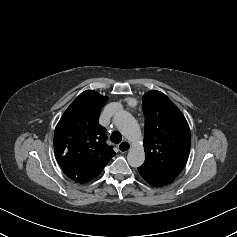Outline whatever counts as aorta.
<instances>
[{
	"mask_svg": "<svg viewBox=\"0 0 237 237\" xmlns=\"http://www.w3.org/2000/svg\"><path fill=\"white\" fill-rule=\"evenodd\" d=\"M113 122L133 146L130 148L127 161L132 167H140L145 161V151L142 145H136L142 138V133L134 117L125 110L118 111L114 117Z\"/></svg>",
	"mask_w": 237,
	"mask_h": 237,
	"instance_id": "aorta-1",
	"label": "aorta"
}]
</instances>
